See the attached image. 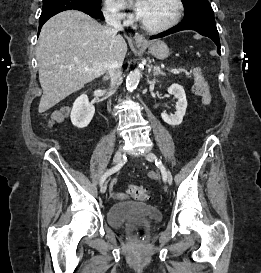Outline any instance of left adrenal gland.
Segmentation results:
<instances>
[{
	"label": "left adrenal gland",
	"instance_id": "obj_1",
	"mask_svg": "<svg viewBox=\"0 0 261 273\" xmlns=\"http://www.w3.org/2000/svg\"><path fill=\"white\" fill-rule=\"evenodd\" d=\"M153 75L156 76V75H164V73L161 71L160 67L155 65L153 67Z\"/></svg>",
	"mask_w": 261,
	"mask_h": 273
}]
</instances>
